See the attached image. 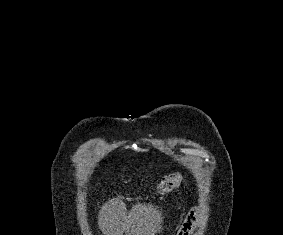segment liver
<instances>
[{"mask_svg":"<svg viewBox=\"0 0 283 235\" xmlns=\"http://www.w3.org/2000/svg\"><path fill=\"white\" fill-rule=\"evenodd\" d=\"M162 219L161 212L152 204L137 203L127 211L119 198L108 200L98 214L103 235H154L160 232Z\"/></svg>","mask_w":283,"mask_h":235,"instance_id":"6515ba94","label":"liver"}]
</instances>
